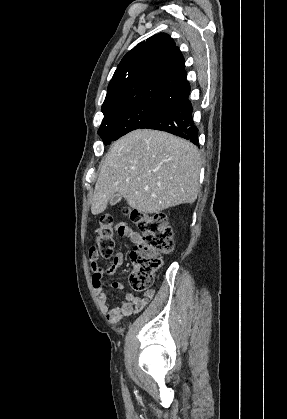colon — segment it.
Returning a JSON list of instances; mask_svg holds the SVG:
<instances>
[{
    "mask_svg": "<svg viewBox=\"0 0 287 419\" xmlns=\"http://www.w3.org/2000/svg\"><path fill=\"white\" fill-rule=\"evenodd\" d=\"M129 216L142 234L140 242L130 252V283L134 291L143 292L152 285L154 273L161 265V255L173 249V232L164 213L132 211ZM116 230L113 218L110 215L102 216L95 232L96 251L102 257L111 256Z\"/></svg>",
    "mask_w": 287,
    "mask_h": 419,
    "instance_id": "obj_1",
    "label": "colon"
}]
</instances>
